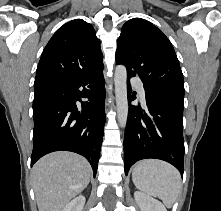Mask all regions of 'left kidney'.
Masks as SVG:
<instances>
[{
  "instance_id": "5707ae66",
  "label": "left kidney",
  "mask_w": 221,
  "mask_h": 211,
  "mask_svg": "<svg viewBox=\"0 0 221 211\" xmlns=\"http://www.w3.org/2000/svg\"><path fill=\"white\" fill-rule=\"evenodd\" d=\"M134 197L141 211H167L160 201L143 192H135Z\"/></svg>"
}]
</instances>
